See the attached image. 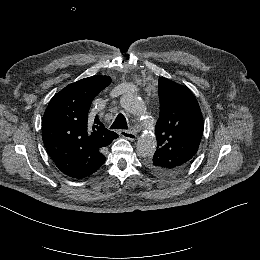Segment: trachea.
Masks as SVG:
<instances>
[{
    "instance_id": "3493384b",
    "label": "trachea",
    "mask_w": 260,
    "mask_h": 260,
    "mask_svg": "<svg viewBox=\"0 0 260 260\" xmlns=\"http://www.w3.org/2000/svg\"><path fill=\"white\" fill-rule=\"evenodd\" d=\"M111 129L117 130H126L128 129V124L126 118L123 114H118L116 119L114 120L113 124L111 125Z\"/></svg>"
}]
</instances>
